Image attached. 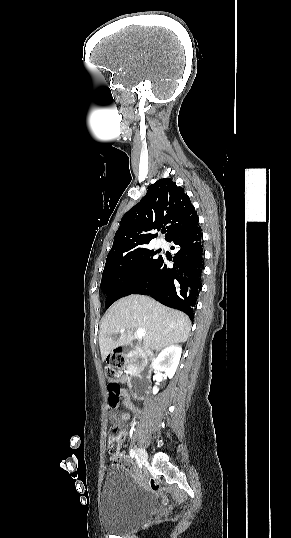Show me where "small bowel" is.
Masks as SVG:
<instances>
[{
  "instance_id": "obj_1",
  "label": "small bowel",
  "mask_w": 291,
  "mask_h": 538,
  "mask_svg": "<svg viewBox=\"0 0 291 538\" xmlns=\"http://www.w3.org/2000/svg\"><path fill=\"white\" fill-rule=\"evenodd\" d=\"M117 384H126L129 382V377L126 375H123L116 380H114ZM120 399H122V404L124 408H126L128 411L139 413L140 410L133 404V402L130 399V396L126 389L120 387ZM130 413L124 412L122 414H118L116 411V408H113L112 411L109 413L110 420L120 429L123 437L127 434L128 426L127 422L130 419ZM112 461L117 462L122 465H130L129 459L124 454H116L115 456H112Z\"/></svg>"
}]
</instances>
